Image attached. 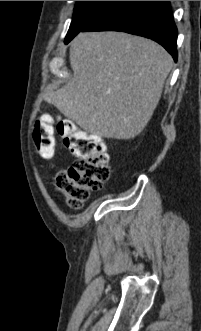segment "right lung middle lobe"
<instances>
[{
  "label": "right lung middle lobe",
  "instance_id": "1",
  "mask_svg": "<svg viewBox=\"0 0 201 331\" xmlns=\"http://www.w3.org/2000/svg\"><path fill=\"white\" fill-rule=\"evenodd\" d=\"M114 1H77L73 19L65 38V44L72 40L85 26L97 18Z\"/></svg>",
  "mask_w": 201,
  "mask_h": 331
}]
</instances>
